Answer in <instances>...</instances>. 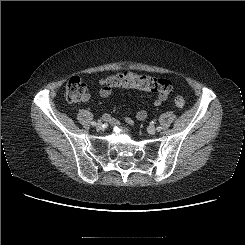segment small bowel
I'll return each mask as SVG.
<instances>
[{"label":"small bowel","instance_id":"c3829d8e","mask_svg":"<svg viewBox=\"0 0 245 245\" xmlns=\"http://www.w3.org/2000/svg\"><path fill=\"white\" fill-rule=\"evenodd\" d=\"M99 94H100L101 97L106 98V97H108L111 94V90H107L105 88H101L100 91H99ZM166 98H167V95L159 94L158 98L153 101V105L156 106V107L162 105V103L166 100ZM88 99H89V95L86 94L85 97L83 98V101H87ZM147 116H148V114H147V111H145V110H139L136 113V118L138 120H140V121L145 120L147 118ZM103 119L104 120H110V116L109 115H104ZM125 121L131 126L134 125V121L131 118H129V117H126Z\"/></svg>","mask_w":245,"mask_h":245}]
</instances>
